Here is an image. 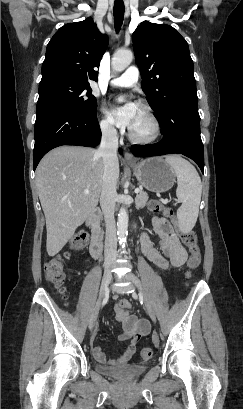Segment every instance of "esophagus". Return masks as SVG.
<instances>
[{"label": "esophagus", "instance_id": "1", "mask_svg": "<svg viewBox=\"0 0 243 409\" xmlns=\"http://www.w3.org/2000/svg\"><path fill=\"white\" fill-rule=\"evenodd\" d=\"M124 159L128 163H135L136 162L133 154L129 150H126V149H125V152H124Z\"/></svg>", "mask_w": 243, "mask_h": 409}]
</instances>
